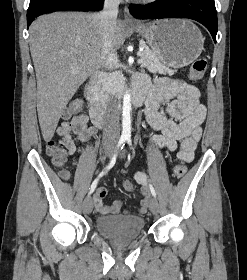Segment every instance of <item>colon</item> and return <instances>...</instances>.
I'll use <instances>...</instances> for the list:
<instances>
[{"mask_svg": "<svg viewBox=\"0 0 247 280\" xmlns=\"http://www.w3.org/2000/svg\"><path fill=\"white\" fill-rule=\"evenodd\" d=\"M207 61L203 58L197 59L193 62L190 71L189 78L192 81L200 80L206 71ZM69 113L74 116L83 115V104L79 99H74L69 105ZM46 150L49 156L52 158L53 162L57 166H62L67 159V150L61 141L50 140L46 145ZM187 172V166L182 161L175 165L173 169V176L176 179L182 178ZM122 187L126 191H131L133 189V183L129 180H125L122 183Z\"/></svg>", "mask_w": 247, "mask_h": 280, "instance_id": "obj_1", "label": "colon"}]
</instances>
